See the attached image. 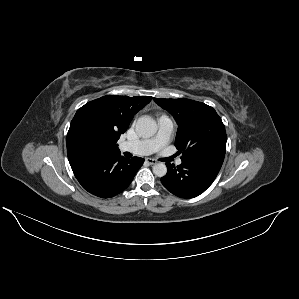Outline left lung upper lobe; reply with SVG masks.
Listing matches in <instances>:
<instances>
[{
  "label": "left lung upper lobe",
  "mask_w": 299,
  "mask_h": 299,
  "mask_svg": "<svg viewBox=\"0 0 299 299\" xmlns=\"http://www.w3.org/2000/svg\"><path fill=\"white\" fill-rule=\"evenodd\" d=\"M154 101L170 112L179 126L175 146L182 152L181 158L204 153L225 155V126L211 106L186 98Z\"/></svg>",
  "instance_id": "5c2ea615"
}]
</instances>
